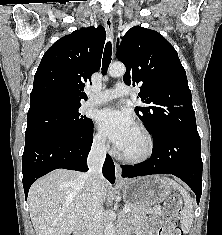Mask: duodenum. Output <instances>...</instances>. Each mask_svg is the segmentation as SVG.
<instances>
[{"label":"duodenum","mask_w":222,"mask_h":235,"mask_svg":"<svg viewBox=\"0 0 222 235\" xmlns=\"http://www.w3.org/2000/svg\"><path fill=\"white\" fill-rule=\"evenodd\" d=\"M73 235H86V231L83 225H78L73 232ZM123 235V234H120Z\"/></svg>","instance_id":"obj_1"}]
</instances>
